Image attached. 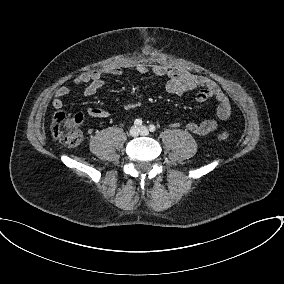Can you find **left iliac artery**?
I'll use <instances>...</instances> for the list:
<instances>
[{"label": "left iliac artery", "mask_w": 284, "mask_h": 284, "mask_svg": "<svg viewBox=\"0 0 284 284\" xmlns=\"http://www.w3.org/2000/svg\"><path fill=\"white\" fill-rule=\"evenodd\" d=\"M150 132H154L156 130V127L154 125L149 126Z\"/></svg>", "instance_id": "obj_1"}]
</instances>
